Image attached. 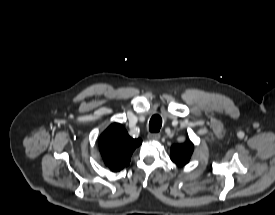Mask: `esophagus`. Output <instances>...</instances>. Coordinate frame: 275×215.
<instances>
[{
    "label": "esophagus",
    "instance_id": "obj_1",
    "mask_svg": "<svg viewBox=\"0 0 275 215\" xmlns=\"http://www.w3.org/2000/svg\"><path fill=\"white\" fill-rule=\"evenodd\" d=\"M160 137H161V135L159 133H149L148 136H147V138L149 140H153V141L159 140Z\"/></svg>",
    "mask_w": 275,
    "mask_h": 215
}]
</instances>
